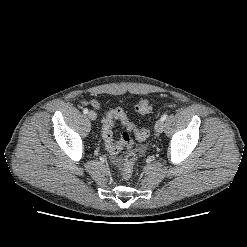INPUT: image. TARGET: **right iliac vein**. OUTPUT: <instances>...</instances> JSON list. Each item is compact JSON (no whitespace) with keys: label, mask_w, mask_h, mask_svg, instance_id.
I'll return each instance as SVG.
<instances>
[{"label":"right iliac vein","mask_w":247,"mask_h":247,"mask_svg":"<svg viewBox=\"0 0 247 247\" xmlns=\"http://www.w3.org/2000/svg\"><path fill=\"white\" fill-rule=\"evenodd\" d=\"M88 118H89L90 120H96L97 115H96V113H95L94 111H89V112H88Z\"/></svg>","instance_id":"1"}]
</instances>
